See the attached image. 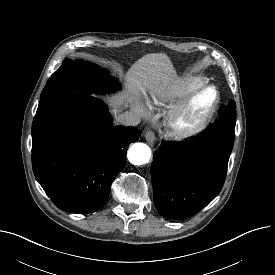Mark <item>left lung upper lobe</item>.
Returning a JSON list of instances; mask_svg holds the SVG:
<instances>
[{
    "label": "left lung upper lobe",
    "mask_w": 275,
    "mask_h": 275,
    "mask_svg": "<svg viewBox=\"0 0 275 275\" xmlns=\"http://www.w3.org/2000/svg\"><path fill=\"white\" fill-rule=\"evenodd\" d=\"M224 107H225V115L226 116L223 119V121L226 123H229L231 126H235V123H236V104H235V102L231 101L228 104V106H224Z\"/></svg>",
    "instance_id": "5c2ea615"
}]
</instances>
